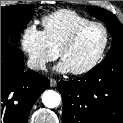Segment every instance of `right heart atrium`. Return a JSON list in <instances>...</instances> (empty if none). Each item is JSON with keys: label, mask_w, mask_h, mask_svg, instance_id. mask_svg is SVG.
<instances>
[{"label": "right heart atrium", "mask_w": 123, "mask_h": 123, "mask_svg": "<svg viewBox=\"0 0 123 123\" xmlns=\"http://www.w3.org/2000/svg\"><path fill=\"white\" fill-rule=\"evenodd\" d=\"M20 47L26 54L30 67L37 71L46 68L47 63L57 57L42 30L30 23L25 26L20 35Z\"/></svg>", "instance_id": "obj_1"}]
</instances>
